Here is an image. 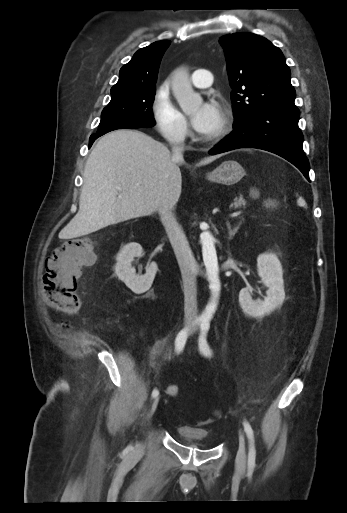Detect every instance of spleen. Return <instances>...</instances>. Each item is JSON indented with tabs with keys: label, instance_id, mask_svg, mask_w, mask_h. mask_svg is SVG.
Masks as SVG:
<instances>
[{
	"label": "spleen",
	"instance_id": "obj_1",
	"mask_svg": "<svg viewBox=\"0 0 347 513\" xmlns=\"http://www.w3.org/2000/svg\"><path fill=\"white\" fill-rule=\"evenodd\" d=\"M297 204H298L299 206H302V207L306 208V202H305V200H304L303 198H301V197H299V198H298V200H297Z\"/></svg>",
	"mask_w": 347,
	"mask_h": 513
}]
</instances>
